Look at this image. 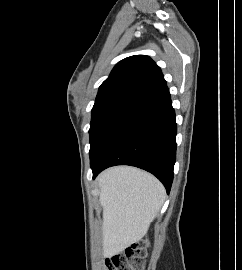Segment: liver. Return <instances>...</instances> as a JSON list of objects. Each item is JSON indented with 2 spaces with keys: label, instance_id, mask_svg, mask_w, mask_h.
Returning <instances> with one entry per match:
<instances>
[{
  "label": "liver",
  "instance_id": "obj_1",
  "mask_svg": "<svg viewBox=\"0 0 242 270\" xmlns=\"http://www.w3.org/2000/svg\"><path fill=\"white\" fill-rule=\"evenodd\" d=\"M97 181L104 248L116 253L147 233L165 200V189L153 175L129 166L109 168Z\"/></svg>",
  "mask_w": 242,
  "mask_h": 270
}]
</instances>
